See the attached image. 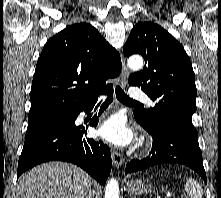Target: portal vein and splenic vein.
<instances>
[{"label": "portal vein and splenic vein", "mask_w": 221, "mask_h": 198, "mask_svg": "<svg viewBox=\"0 0 221 198\" xmlns=\"http://www.w3.org/2000/svg\"><path fill=\"white\" fill-rule=\"evenodd\" d=\"M167 197H168V198H171V194H167Z\"/></svg>", "instance_id": "18ae733b"}]
</instances>
